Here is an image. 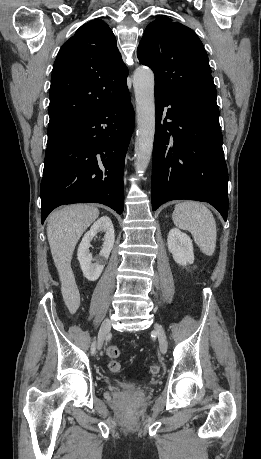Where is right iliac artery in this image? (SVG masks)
Segmentation results:
<instances>
[{
	"label": "right iliac artery",
	"instance_id": "right-iliac-artery-1",
	"mask_svg": "<svg viewBox=\"0 0 261 459\" xmlns=\"http://www.w3.org/2000/svg\"><path fill=\"white\" fill-rule=\"evenodd\" d=\"M95 352V342H93L92 347H91V353L93 354Z\"/></svg>",
	"mask_w": 261,
	"mask_h": 459
}]
</instances>
